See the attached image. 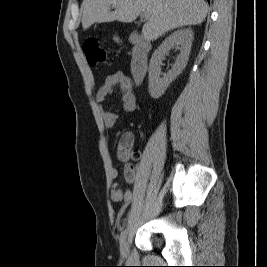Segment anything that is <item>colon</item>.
Instances as JSON below:
<instances>
[{
    "label": "colon",
    "instance_id": "colon-1",
    "mask_svg": "<svg viewBox=\"0 0 267 267\" xmlns=\"http://www.w3.org/2000/svg\"><path fill=\"white\" fill-rule=\"evenodd\" d=\"M83 51L91 66H96L106 59L105 50L95 40H88L83 44ZM118 158L122 161L136 160L139 158V150L134 147L131 136L124 135L120 138L117 146Z\"/></svg>",
    "mask_w": 267,
    "mask_h": 267
}]
</instances>
